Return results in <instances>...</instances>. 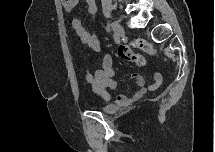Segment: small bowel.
Returning a JSON list of instances; mask_svg holds the SVG:
<instances>
[{
  "label": "small bowel",
  "mask_w": 215,
  "mask_h": 152,
  "mask_svg": "<svg viewBox=\"0 0 215 152\" xmlns=\"http://www.w3.org/2000/svg\"><path fill=\"white\" fill-rule=\"evenodd\" d=\"M88 11L90 14H96V4L94 0H88ZM72 28L79 38V42L82 46L90 48L95 52L101 51L100 43L95 34L88 32L80 19L74 18L72 20ZM115 75V70L113 68V57L110 54H106L102 61V69L95 71L94 74L85 72V81L91 85L94 92L99 95L104 100L110 99L109 90L115 89L117 83L112 79ZM134 80L137 90L132 95L120 94L117 96V103L124 104L136 101L140 99L148 90L157 89L162 83V76L159 73L153 75V82L151 85H145V79L141 74L133 73L131 74Z\"/></svg>",
  "instance_id": "small-bowel-1"
}]
</instances>
